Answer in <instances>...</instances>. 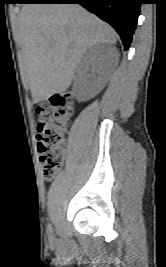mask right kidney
<instances>
[{
	"instance_id": "right-kidney-1",
	"label": "right kidney",
	"mask_w": 166,
	"mask_h": 267,
	"mask_svg": "<svg viewBox=\"0 0 166 267\" xmlns=\"http://www.w3.org/2000/svg\"><path fill=\"white\" fill-rule=\"evenodd\" d=\"M106 57L103 45H95L84 56L81 69L75 79V90L80 101L89 100L100 91V75L104 70ZM88 71H91V74H88Z\"/></svg>"
}]
</instances>
